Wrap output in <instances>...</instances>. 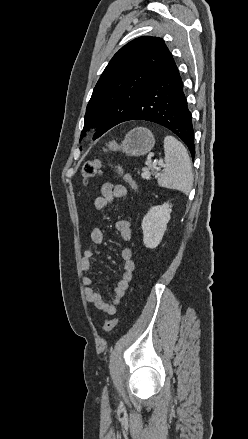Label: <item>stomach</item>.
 Instances as JSON below:
<instances>
[{
	"instance_id": "1",
	"label": "stomach",
	"mask_w": 248,
	"mask_h": 439,
	"mask_svg": "<svg viewBox=\"0 0 248 439\" xmlns=\"http://www.w3.org/2000/svg\"><path fill=\"white\" fill-rule=\"evenodd\" d=\"M154 144L155 138L152 132L147 128L137 127L126 134L119 149L129 156H141L150 152ZM110 149L115 148L110 147Z\"/></svg>"
}]
</instances>
